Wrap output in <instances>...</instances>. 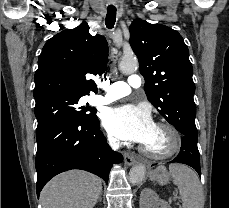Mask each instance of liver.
<instances>
[{
    "label": "liver",
    "instance_id": "1",
    "mask_svg": "<svg viewBox=\"0 0 229 208\" xmlns=\"http://www.w3.org/2000/svg\"><path fill=\"white\" fill-rule=\"evenodd\" d=\"M102 192V180L80 170L55 176L40 194L42 208H94Z\"/></svg>",
    "mask_w": 229,
    "mask_h": 208
}]
</instances>
